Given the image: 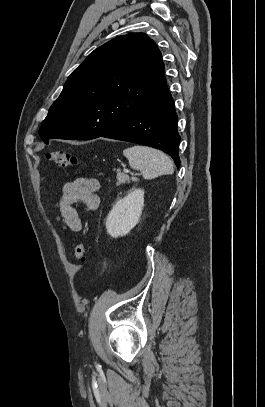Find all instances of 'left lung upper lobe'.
<instances>
[{
	"instance_id": "1",
	"label": "left lung upper lobe",
	"mask_w": 265,
	"mask_h": 407,
	"mask_svg": "<svg viewBox=\"0 0 265 407\" xmlns=\"http://www.w3.org/2000/svg\"><path fill=\"white\" fill-rule=\"evenodd\" d=\"M167 89L162 55L144 33L118 36L95 49L68 77L39 134L89 140L101 137Z\"/></svg>"
}]
</instances>
